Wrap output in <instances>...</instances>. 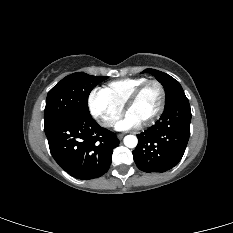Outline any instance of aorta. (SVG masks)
I'll return each instance as SVG.
<instances>
[{
    "instance_id": "762f6f07",
    "label": "aorta",
    "mask_w": 233,
    "mask_h": 233,
    "mask_svg": "<svg viewBox=\"0 0 233 233\" xmlns=\"http://www.w3.org/2000/svg\"><path fill=\"white\" fill-rule=\"evenodd\" d=\"M124 145L128 148H135L137 146L138 140L134 135H127L124 137Z\"/></svg>"
}]
</instances>
